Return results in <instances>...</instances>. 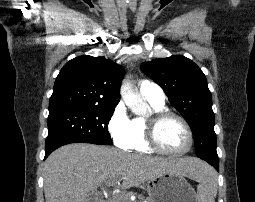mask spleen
Listing matches in <instances>:
<instances>
[{"instance_id":"3e777b00","label":"spleen","mask_w":255,"mask_h":202,"mask_svg":"<svg viewBox=\"0 0 255 202\" xmlns=\"http://www.w3.org/2000/svg\"><path fill=\"white\" fill-rule=\"evenodd\" d=\"M197 200L198 202H215L217 195V174L208 165L199 164L197 166Z\"/></svg>"}]
</instances>
